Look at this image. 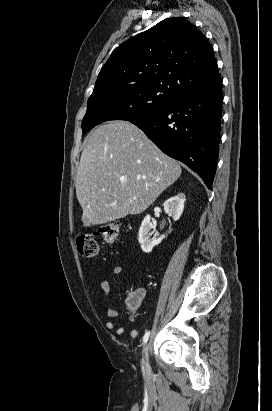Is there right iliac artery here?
I'll return each mask as SVG.
<instances>
[{
	"mask_svg": "<svg viewBox=\"0 0 272 411\" xmlns=\"http://www.w3.org/2000/svg\"><path fill=\"white\" fill-rule=\"evenodd\" d=\"M149 335H150V331H147L145 335L143 336V344H145L148 341Z\"/></svg>",
	"mask_w": 272,
	"mask_h": 411,
	"instance_id": "82829eb1",
	"label": "right iliac artery"
}]
</instances>
